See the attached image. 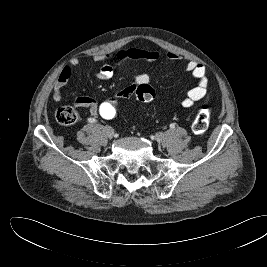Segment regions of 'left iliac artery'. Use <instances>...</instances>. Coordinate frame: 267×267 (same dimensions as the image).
<instances>
[{"label": "left iliac artery", "mask_w": 267, "mask_h": 267, "mask_svg": "<svg viewBox=\"0 0 267 267\" xmlns=\"http://www.w3.org/2000/svg\"><path fill=\"white\" fill-rule=\"evenodd\" d=\"M170 128L171 129L175 128V124L174 123L170 124Z\"/></svg>", "instance_id": "44dca946"}]
</instances>
